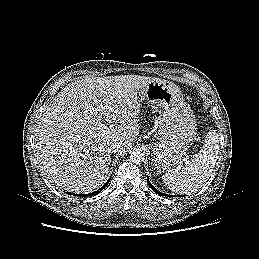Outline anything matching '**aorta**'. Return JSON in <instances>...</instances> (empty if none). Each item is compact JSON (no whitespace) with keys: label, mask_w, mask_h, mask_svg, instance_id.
<instances>
[{"label":"aorta","mask_w":259,"mask_h":259,"mask_svg":"<svg viewBox=\"0 0 259 259\" xmlns=\"http://www.w3.org/2000/svg\"><path fill=\"white\" fill-rule=\"evenodd\" d=\"M129 158L133 163H141L145 159V153L139 148H134L130 151Z\"/></svg>","instance_id":"obj_1"}]
</instances>
